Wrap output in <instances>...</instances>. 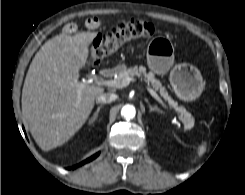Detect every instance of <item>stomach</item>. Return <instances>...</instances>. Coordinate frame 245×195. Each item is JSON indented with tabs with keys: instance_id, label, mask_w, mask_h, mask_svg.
<instances>
[{
	"instance_id": "stomach-1",
	"label": "stomach",
	"mask_w": 245,
	"mask_h": 195,
	"mask_svg": "<svg viewBox=\"0 0 245 195\" xmlns=\"http://www.w3.org/2000/svg\"><path fill=\"white\" fill-rule=\"evenodd\" d=\"M147 62L149 68L157 74H165L170 69V83L176 96L183 101L197 99L204 88L200 71L187 63L175 65L174 48L172 43L164 38H155L147 48ZM124 69L120 65L117 70Z\"/></svg>"
}]
</instances>
